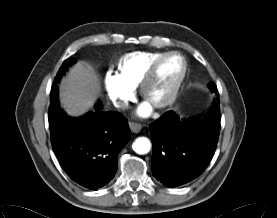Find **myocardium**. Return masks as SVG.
<instances>
[{
    "label": "myocardium",
    "instance_id": "myocardium-1",
    "mask_svg": "<svg viewBox=\"0 0 277 218\" xmlns=\"http://www.w3.org/2000/svg\"><path fill=\"white\" fill-rule=\"evenodd\" d=\"M170 56H176L180 58L182 62V70L180 72L179 77L170 88L168 94L163 99L156 101L154 103H151L156 108H164L174 102L188 71V63L186 58L177 51H169L161 54L151 62V64L149 65L147 71L145 72L139 84L140 93L142 97L148 101V88L155 78L157 69L161 64V62Z\"/></svg>",
    "mask_w": 277,
    "mask_h": 218
}]
</instances>
